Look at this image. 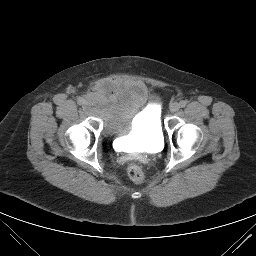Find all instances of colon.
Listing matches in <instances>:
<instances>
[{"label": "colon", "mask_w": 256, "mask_h": 256, "mask_svg": "<svg viewBox=\"0 0 256 256\" xmlns=\"http://www.w3.org/2000/svg\"><path fill=\"white\" fill-rule=\"evenodd\" d=\"M128 175L131 180L141 183L144 180V173L137 164H130L128 167Z\"/></svg>", "instance_id": "colon-1"}]
</instances>
